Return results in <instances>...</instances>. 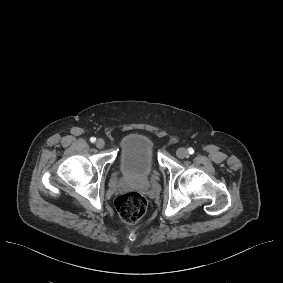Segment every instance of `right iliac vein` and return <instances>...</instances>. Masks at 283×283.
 Listing matches in <instances>:
<instances>
[{
    "label": "right iliac vein",
    "mask_w": 283,
    "mask_h": 283,
    "mask_svg": "<svg viewBox=\"0 0 283 283\" xmlns=\"http://www.w3.org/2000/svg\"><path fill=\"white\" fill-rule=\"evenodd\" d=\"M95 145H96L97 148L101 149L105 146V141L100 138L96 141Z\"/></svg>",
    "instance_id": "63e3f726"
}]
</instances>
